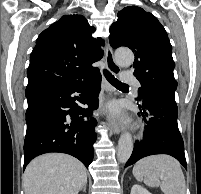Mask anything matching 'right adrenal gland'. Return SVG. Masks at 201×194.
I'll return each instance as SVG.
<instances>
[{"instance_id":"1","label":"right adrenal gland","mask_w":201,"mask_h":194,"mask_svg":"<svg viewBox=\"0 0 201 194\" xmlns=\"http://www.w3.org/2000/svg\"><path fill=\"white\" fill-rule=\"evenodd\" d=\"M83 192H86V185L82 188Z\"/></svg>"}]
</instances>
